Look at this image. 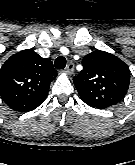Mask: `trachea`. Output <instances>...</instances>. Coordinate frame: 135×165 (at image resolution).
I'll use <instances>...</instances> for the list:
<instances>
[{"label":"trachea","mask_w":135,"mask_h":165,"mask_svg":"<svg viewBox=\"0 0 135 165\" xmlns=\"http://www.w3.org/2000/svg\"><path fill=\"white\" fill-rule=\"evenodd\" d=\"M54 65H55V68H57V69H64V67L66 66L65 57H63V56L57 57Z\"/></svg>","instance_id":"3493384b"}]
</instances>
